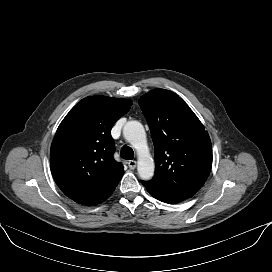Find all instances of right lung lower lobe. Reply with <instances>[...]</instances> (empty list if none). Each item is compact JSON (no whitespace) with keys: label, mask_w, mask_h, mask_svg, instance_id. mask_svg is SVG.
Here are the masks:
<instances>
[{"label":"right lung lower lobe","mask_w":272,"mask_h":272,"mask_svg":"<svg viewBox=\"0 0 272 272\" xmlns=\"http://www.w3.org/2000/svg\"><path fill=\"white\" fill-rule=\"evenodd\" d=\"M122 175L117 177L107 188H105L101 193L95 196L93 199L85 203L86 206H94L105 201L113 193L114 189L118 185Z\"/></svg>","instance_id":"98d812e1"}]
</instances>
